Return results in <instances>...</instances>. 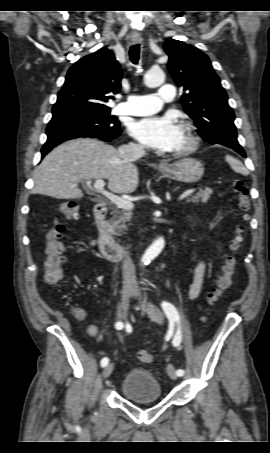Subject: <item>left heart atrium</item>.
<instances>
[{
  "mask_svg": "<svg viewBox=\"0 0 270 453\" xmlns=\"http://www.w3.org/2000/svg\"><path fill=\"white\" fill-rule=\"evenodd\" d=\"M129 131L146 147L160 151L174 150L182 136V128L172 115L136 120L131 123Z\"/></svg>",
  "mask_w": 270,
  "mask_h": 453,
  "instance_id": "1",
  "label": "left heart atrium"
}]
</instances>
